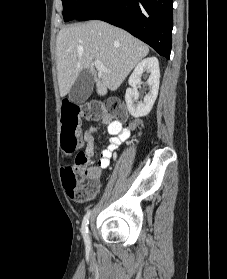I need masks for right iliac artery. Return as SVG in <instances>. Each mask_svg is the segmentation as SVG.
<instances>
[{
    "label": "right iliac artery",
    "mask_w": 227,
    "mask_h": 279,
    "mask_svg": "<svg viewBox=\"0 0 227 279\" xmlns=\"http://www.w3.org/2000/svg\"><path fill=\"white\" fill-rule=\"evenodd\" d=\"M91 215V211H88L82 221V235L84 238V242L86 245L87 249H90L91 244H90V238H89V234H88V224H89V217Z\"/></svg>",
    "instance_id": "82829eb1"
}]
</instances>
